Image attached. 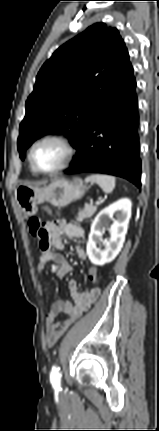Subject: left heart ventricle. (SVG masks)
Masks as SVG:
<instances>
[{
	"mask_svg": "<svg viewBox=\"0 0 159 431\" xmlns=\"http://www.w3.org/2000/svg\"><path fill=\"white\" fill-rule=\"evenodd\" d=\"M65 157L64 147L53 141L38 145L33 152V161L37 168L48 171L59 166Z\"/></svg>",
	"mask_w": 159,
	"mask_h": 431,
	"instance_id": "b2bd125f",
	"label": "left heart ventricle"
}]
</instances>
